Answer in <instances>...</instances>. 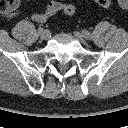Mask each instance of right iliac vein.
<instances>
[{
  "label": "right iliac vein",
  "mask_w": 128,
  "mask_h": 128,
  "mask_svg": "<svg viewBox=\"0 0 128 128\" xmlns=\"http://www.w3.org/2000/svg\"><path fill=\"white\" fill-rule=\"evenodd\" d=\"M38 35L42 40H47L49 38L50 33L47 30L41 29V30H38Z\"/></svg>",
  "instance_id": "1"
}]
</instances>
